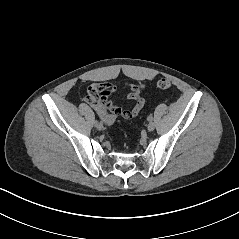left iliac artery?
Instances as JSON below:
<instances>
[{"mask_svg":"<svg viewBox=\"0 0 239 239\" xmlns=\"http://www.w3.org/2000/svg\"><path fill=\"white\" fill-rule=\"evenodd\" d=\"M152 119H153L152 116H148V117H147V120H148V121H152Z\"/></svg>","mask_w":239,"mask_h":239,"instance_id":"obj_1","label":"left iliac artery"}]
</instances>
